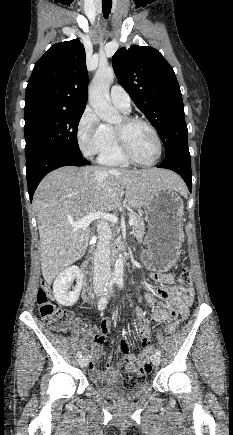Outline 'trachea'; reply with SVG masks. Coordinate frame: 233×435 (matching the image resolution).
I'll use <instances>...</instances> for the list:
<instances>
[{"label": "trachea", "mask_w": 233, "mask_h": 435, "mask_svg": "<svg viewBox=\"0 0 233 435\" xmlns=\"http://www.w3.org/2000/svg\"><path fill=\"white\" fill-rule=\"evenodd\" d=\"M112 7V0H102V12L105 18H108Z\"/></svg>", "instance_id": "1"}]
</instances>
